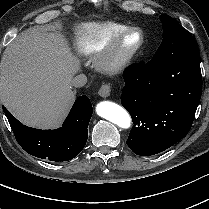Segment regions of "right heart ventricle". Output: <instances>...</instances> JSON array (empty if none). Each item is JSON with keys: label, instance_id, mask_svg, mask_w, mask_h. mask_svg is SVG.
<instances>
[{"label": "right heart ventricle", "instance_id": "right-heart-ventricle-1", "mask_svg": "<svg viewBox=\"0 0 209 209\" xmlns=\"http://www.w3.org/2000/svg\"><path fill=\"white\" fill-rule=\"evenodd\" d=\"M132 27L129 24L104 21L88 22L74 29L72 43L76 52L83 56H89L101 51L107 40L117 31Z\"/></svg>", "mask_w": 209, "mask_h": 209}]
</instances>
